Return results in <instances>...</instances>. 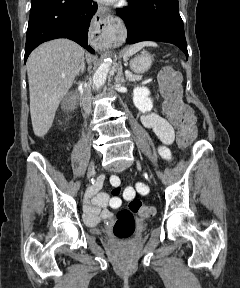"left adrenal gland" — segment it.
Instances as JSON below:
<instances>
[{"mask_svg": "<svg viewBox=\"0 0 240 288\" xmlns=\"http://www.w3.org/2000/svg\"><path fill=\"white\" fill-rule=\"evenodd\" d=\"M122 70H123V67H122V65H120V68L118 69L117 75L115 77L116 83H124L125 82V79L122 76L123 75Z\"/></svg>", "mask_w": 240, "mask_h": 288, "instance_id": "1", "label": "left adrenal gland"}]
</instances>
